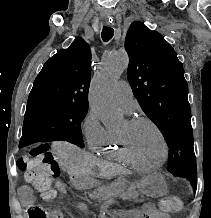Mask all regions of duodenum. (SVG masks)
I'll return each instance as SVG.
<instances>
[{
  "label": "duodenum",
  "mask_w": 211,
  "mask_h": 218,
  "mask_svg": "<svg viewBox=\"0 0 211 218\" xmlns=\"http://www.w3.org/2000/svg\"><path fill=\"white\" fill-rule=\"evenodd\" d=\"M72 178L75 183L81 181V177L78 174H73ZM112 216L115 218H137V210H117L112 212Z\"/></svg>",
  "instance_id": "obj_1"
}]
</instances>
